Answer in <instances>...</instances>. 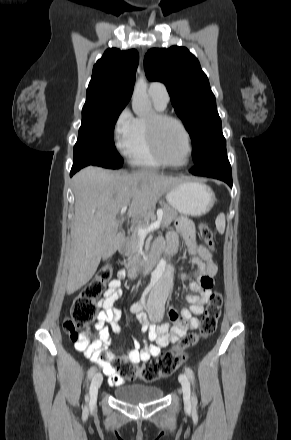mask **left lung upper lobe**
<instances>
[{"label": "left lung upper lobe", "instance_id": "5c2ea615", "mask_svg": "<svg viewBox=\"0 0 291 440\" xmlns=\"http://www.w3.org/2000/svg\"><path fill=\"white\" fill-rule=\"evenodd\" d=\"M144 66L150 81L164 83L193 145L195 166L226 148L215 96L197 58L185 47L153 48Z\"/></svg>", "mask_w": 291, "mask_h": 440}]
</instances>
